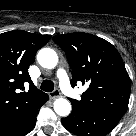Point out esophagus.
<instances>
[{
  "mask_svg": "<svg viewBox=\"0 0 136 136\" xmlns=\"http://www.w3.org/2000/svg\"><path fill=\"white\" fill-rule=\"evenodd\" d=\"M60 91L58 89H55L54 91L49 93V97L50 99H56L58 97H60Z\"/></svg>",
  "mask_w": 136,
  "mask_h": 136,
  "instance_id": "1",
  "label": "esophagus"
}]
</instances>
